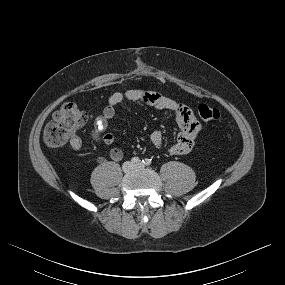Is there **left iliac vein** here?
Segmentation results:
<instances>
[{
  "label": "left iliac vein",
  "mask_w": 285,
  "mask_h": 285,
  "mask_svg": "<svg viewBox=\"0 0 285 285\" xmlns=\"http://www.w3.org/2000/svg\"><path fill=\"white\" fill-rule=\"evenodd\" d=\"M134 168H144V164L143 163L135 164Z\"/></svg>",
  "instance_id": "left-iliac-vein-1"
}]
</instances>
